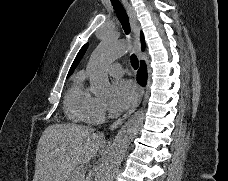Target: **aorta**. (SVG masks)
<instances>
[{
  "instance_id": "obj_1",
  "label": "aorta",
  "mask_w": 228,
  "mask_h": 181,
  "mask_svg": "<svg viewBox=\"0 0 228 181\" xmlns=\"http://www.w3.org/2000/svg\"><path fill=\"white\" fill-rule=\"evenodd\" d=\"M128 45L124 40H115L110 36L102 39L94 50L89 60L86 73L90 79V87L94 94L107 96L110 91V82L107 74V66L118 57L126 54ZM144 121V111H137L119 130L116 135L111 152L104 167L100 181H113L115 170L121 163L123 156L141 129Z\"/></svg>"
}]
</instances>
